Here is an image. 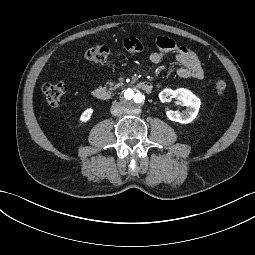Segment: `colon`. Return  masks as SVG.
Segmentation results:
<instances>
[{
    "instance_id": "5ec220e1",
    "label": "colon",
    "mask_w": 255,
    "mask_h": 255,
    "mask_svg": "<svg viewBox=\"0 0 255 255\" xmlns=\"http://www.w3.org/2000/svg\"><path fill=\"white\" fill-rule=\"evenodd\" d=\"M144 49L143 43L135 36H130L123 41V51L126 54H137ZM85 56L93 62L106 64L112 62L117 57V53L105 45L94 44L85 49ZM215 90L223 93L226 90L225 81H216ZM42 92L50 106H57L66 92V86L63 82L45 83Z\"/></svg>"
}]
</instances>
